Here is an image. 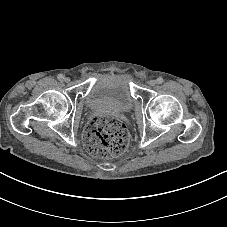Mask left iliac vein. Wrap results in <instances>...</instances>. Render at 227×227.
<instances>
[{
	"mask_svg": "<svg viewBox=\"0 0 227 227\" xmlns=\"http://www.w3.org/2000/svg\"><path fill=\"white\" fill-rule=\"evenodd\" d=\"M156 80H154V79H152V80H150L149 82H148V84L150 85V86H155L156 85Z\"/></svg>",
	"mask_w": 227,
	"mask_h": 227,
	"instance_id": "1",
	"label": "left iliac vein"
}]
</instances>
